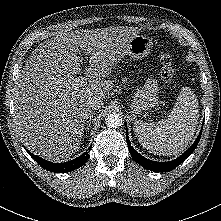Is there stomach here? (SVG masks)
I'll use <instances>...</instances> for the list:
<instances>
[{"mask_svg":"<svg viewBox=\"0 0 221 221\" xmlns=\"http://www.w3.org/2000/svg\"><path fill=\"white\" fill-rule=\"evenodd\" d=\"M153 47V42L145 35H136L127 43L119 56V60L124 56H130L133 59H142L147 57ZM159 83L153 77L146 80L144 86L136 91L133 96L131 109L133 113H139L153 108L158 103Z\"/></svg>","mask_w":221,"mask_h":221,"instance_id":"1","label":"stomach"}]
</instances>
